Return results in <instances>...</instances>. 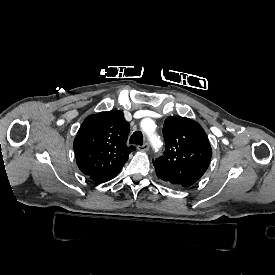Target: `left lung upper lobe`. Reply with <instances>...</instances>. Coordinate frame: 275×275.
I'll return each instance as SVG.
<instances>
[{"mask_svg":"<svg viewBox=\"0 0 275 275\" xmlns=\"http://www.w3.org/2000/svg\"><path fill=\"white\" fill-rule=\"evenodd\" d=\"M164 155L153 163L182 187L199 180L207 170L212 149L203 128L192 119L168 117L163 126Z\"/></svg>","mask_w":275,"mask_h":275,"instance_id":"1","label":"left lung upper lobe"}]
</instances>
